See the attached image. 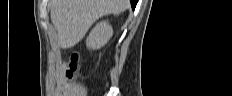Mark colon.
Segmentation results:
<instances>
[{
  "mask_svg": "<svg viewBox=\"0 0 232 96\" xmlns=\"http://www.w3.org/2000/svg\"><path fill=\"white\" fill-rule=\"evenodd\" d=\"M79 56L76 52L72 53L69 59L63 63L62 67L67 77H71L78 69Z\"/></svg>",
  "mask_w": 232,
  "mask_h": 96,
  "instance_id": "1",
  "label": "colon"
}]
</instances>
